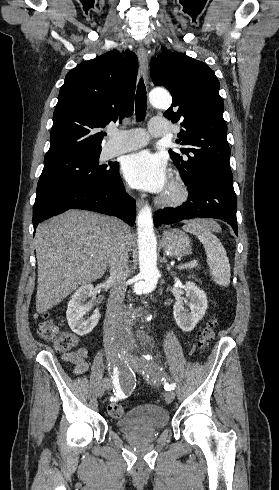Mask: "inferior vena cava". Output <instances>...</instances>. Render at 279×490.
Wrapping results in <instances>:
<instances>
[{"label": "inferior vena cava", "mask_w": 279, "mask_h": 490, "mask_svg": "<svg viewBox=\"0 0 279 490\" xmlns=\"http://www.w3.org/2000/svg\"><path fill=\"white\" fill-rule=\"evenodd\" d=\"M114 224H117V228H120L121 220H114ZM117 238L112 248L109 268L110 278L109 282L112 284L110 290V296L107 304L105 320L108 324H116L120 318V312H122L123 300L126 294V280L129 278V266H128V248L125 232L116 230Z\"/></svg>", "instance_id": "obj_1"}]
</instances>
